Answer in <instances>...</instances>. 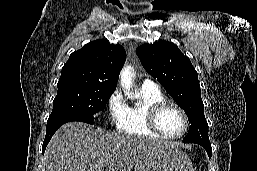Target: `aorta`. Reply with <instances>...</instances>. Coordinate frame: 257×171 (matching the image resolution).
Masks as SVG:
<instances>
[{"label":"aorta","mask_w":257,"mask_h":171,"mask_svg":"<svg viewBox=\"0 0 257 171\" xmlns=\"http://www.w3.org/2000/svg\"><path fill=\"white\" fill-rule=\"evenodd\" d=\"M121 85L125 90V94L129 96L130 88L133 85V68L126 66L120 73Z\"/></svg>","instance_id":"obj_1"}]
</instances>
